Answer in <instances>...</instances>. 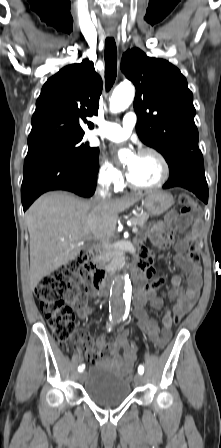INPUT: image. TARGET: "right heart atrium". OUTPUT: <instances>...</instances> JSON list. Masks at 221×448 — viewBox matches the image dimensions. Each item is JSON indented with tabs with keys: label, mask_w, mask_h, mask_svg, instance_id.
I'll return each instance as SVG.
<instances>
[{
	"label": "right heart atrium",
	"mask_w": 221,
	"mask_h": 448,
	"mask_svg": "<svg viewBox=\"0 0 221 448\" xmlns=\"http://www.w3.org/2000/svg\"><path fill=\"white\" fill-rule=\"evenodd\" d=\"M98 181L106 187L116 188L122 182V174L111 161L102 158L98 167Z\"/></svg>",
	"instance_id": "right-heart-atrium-1"
}]
</instances>
